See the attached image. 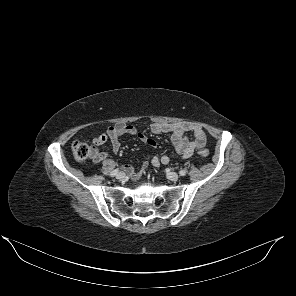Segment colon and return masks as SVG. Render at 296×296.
Here are the masks:
<instances>
[{"mask_svg": "<svg viewBox=\"0 0 296 296\" xmlns=\"http://www.w3.org/2000/svg\"><path fill=\"white\" fill-rule=\"evenodd\" d=\"M71 149L75 159L80 162L89 160L96 156V151H94L88 144L81 141L73 142ZM198 153L203 158L209 156V151L207 149H200Z\"/></svg>", "mask_w": 296, "mask_h": 296, "instance_id": "obj_1", "label": "colon"}]
</instances>
